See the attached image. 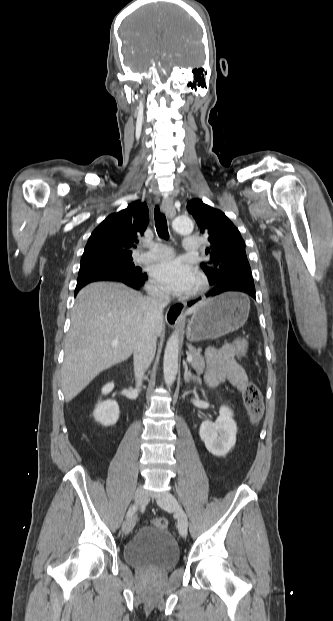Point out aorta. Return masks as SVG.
<instances>
[{"label": "aorta", "instance_id": "762f6f07", "mask_svg": "<svg viewBox=\"0 0 333 621\" xmlns=\"http://www.w3.org/2000/svg\"><path fill=\"white\" fill-rule=\"evenodd\" d=\"M172 227L177 233L188 235L193 231L194 225L187 217H176L172 222ZM178 353L179 336L173 333L167 341L163 359L164 381L167 387L172 386L178 372Z\"/></svg>", "mask_w": 333, "mask_h": 621}]
</instances>
